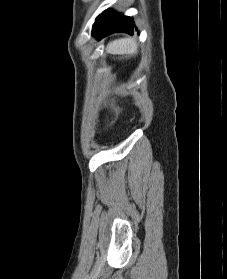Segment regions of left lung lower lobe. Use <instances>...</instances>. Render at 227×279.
Segmentation results:
<instances>
[{"label": "left lung lower lobe", "instance_id": "1", "mask_svg": "<svg viewBox=\"0 0 227 279\" xmlns=\"http://www.w3.org/2000/svg\"><path fill=\"white\" fill-rule=\"evenodd\" d=\"M115 32L133 34L134 21L128 16H123L121 13L107 9L97 16L93 24L92 34L101 39Z\"/></svg>", "mask_w": 227, "mask_h": 279}]
</instances>
